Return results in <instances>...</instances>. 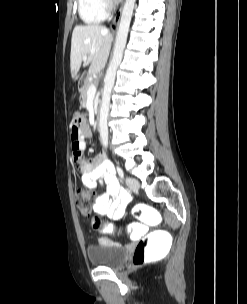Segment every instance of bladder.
I'll return each mask as SVG.
<instances>
[{
	"label": "bladder",
	"mask_w": 247,
	"mask_h": 304,
	"mask_svg": "<svg viewBox=\"0 0 247 304\" xmlns=\"http://www.w3.org/2000/svg\"><path fill=\"white\" fill-rule=\"evenodd\" d=\"M125 246L115 243L93 245L87 248L89 263L94 267L118 269L127 258Z\"/></svg>",
	"instance_id": "obj_1"
}]
</instances>
